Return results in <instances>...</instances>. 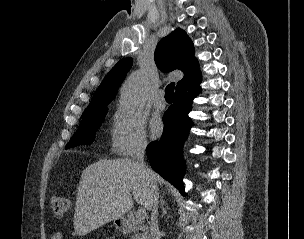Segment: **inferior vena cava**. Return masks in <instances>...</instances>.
I'll return each mask as SVG.
<instances>
[{
    "label": "inferior vena cava",
    "mask_w": 304,
    "mask_h": 239,
    "mask_svg": "<svg viewBox=\"0 0 304 239\" xmlns=\"http://www.w3.org/2000/svg\"><path fill=\"white\" fill-rule=\"evenodd\" d=\"M146 146H147V143L145 141H140L133 150L132 160L138 166V168L141 171L142 176L144 178H146L148 185L150 187V194H151L150 230H151L152 239H158L159 227H158L157 214H158L159 191H158V187H157L155 177L153 176L152 171L144 163V153H145Z\"/></svg>",
    "instance_id": "obj_1"
}]
</instances>
